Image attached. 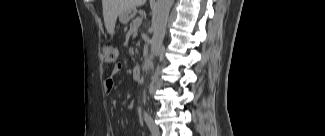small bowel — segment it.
<instances>
[{
    "instance_id": "obj_1",
    "label": "small bowel",
    "mask_w": 325,
    "mask_h": 136,
    "mask_svg": "<svg viewBox=\"0 0 325 136\" xmlns=\"http://www.w3.org/2000/svg\"><path fill=\"white\" fill-rule=\"evenodd\" d=\"M120 71V66L114 68L112 74L108 76L104 81V91L106 94H110L114 88V76Z\"/></svg>"
}]
</instances>
